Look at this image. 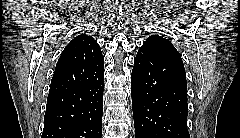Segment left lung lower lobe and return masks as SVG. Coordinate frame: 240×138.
Segmentation results:
<instances>
[{"mask_svg":"<svg viewBox=\"0 0 240 138\" xmlns=\"http://www.w3.org/2000/svg\"><path fill=\"white\" fill-rule=\"evenodd\" d=\"M131 94L135 138H190L186 75L180 57L137 54Z\"/></svg>","mask_w":240,"mask_h":138,"instance_id":"left-lung-lower-lobe-1","label":"left lung lower lobe"}]
</instances>
